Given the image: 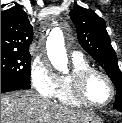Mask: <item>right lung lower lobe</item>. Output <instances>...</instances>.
<instances>
[{
    "mask_svg": "<svg viewBox=\"0 0 122 123\" xmlns=\"http://www.w3.org/2000/svg\"><path fill=\"white\" fill-rule=\"evenodd\" d=\"M30 88L31 86L28 83H24L11 78L1 77V93Z\"/></svg>",
    "mask_w": 122,
    "mask_h": 123,
    "instance_id": "98d812e1",
    "label": "right lung lower lobe"
}]
</instances>
